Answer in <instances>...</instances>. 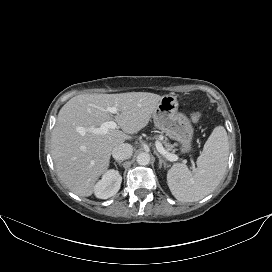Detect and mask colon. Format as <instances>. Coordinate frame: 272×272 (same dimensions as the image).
Listing matches in <instances>:
<instances>
[{
    "label": "colon",
    "instance_id": "1",
    "mask_svg": "<svg viewBox=\"0 0 272 272\" xmlns=\"http://www.w3.org/2000/svg\"><path fill=\"white\" fill-rule=\"evenodd\" d=\"M202 115L199 112H194L191 115V119L193 122H198L201 119Z\"/></svg>",
    "mask_w": 272,
    "mask_h": 272
}]
</instances>
